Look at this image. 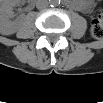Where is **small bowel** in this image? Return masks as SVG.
I'll list each match as a JSON object with an SVG mask.
<instances>
[{"instance_id": "obj_1", "label": "small bowel", "mask_w": 103, "mask_h": 103, "mask_svg": "<svg viewBox=\"0 0 103 103\" xmlns=\"http://www.w3.org/2000/svg\"><path fill=\"white\" fill-rule=\"evenodd\" d=\"M92 3L91 2H85V3H82L81 5H80V9L82 10V11H89L91 8H92Z\"/></svg>"}]
</instances>
